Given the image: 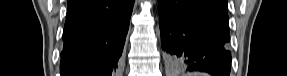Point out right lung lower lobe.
I'll return each mask as SVG.
<instances>
[{"label": "right lung lower lobe", "mask_w": 287, "mask_h": 76, "mask_svg": "<svg viewBox=\"0 0 287 76\" xmlns=\"http://www.w3.org/2000/svg\"><path fill=\"white\" fill-rule=\"evenodd\" d=\"M134 0H70L63 32L61 76H113Z\"/></svg>", "instance_id": "right-lung-lower-lobe-1"}]
</instances>
